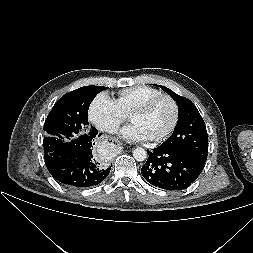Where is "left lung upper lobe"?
<instances>
[{"label": "left lung upper lobe", "mask_w": 253, "mask_h": 253, "mask_svg": "<svg viewBox=\"0 0 253 253\" xmlns=\"http://www.w3.org/2000/svg\"><path fill=\"white\" fill-rule=\"evenodd\" d=\"M177 102L179 120L172 135L161 145L193 155L206 162L208 154V135L205 123L196 106L167 87L158 85Z\"/></svg>", "instance_id": "5c2ea615"}]
</instances>
